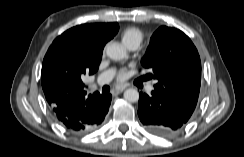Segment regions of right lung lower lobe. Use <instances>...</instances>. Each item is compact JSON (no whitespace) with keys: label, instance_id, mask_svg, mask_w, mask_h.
<instances>
[{"label":"right lung lower lobe","instance_id":"obj_1","mask_svg":"<svg viewBox=\"0 0 244 157\" xmlns=\"http://www.w3.org/2000/svg\"><path fill=\"white\" fill-rule=\"evenodd\" d=\"M111 94L92 97H78L71 102L49 104L55 117L66 129L73 132H86L97 128L105 119L111 104Z\"/></svg>","mask_w":244,"mask_h":157}]
</instances>
